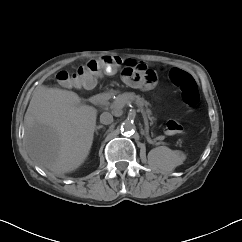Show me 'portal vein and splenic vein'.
Returning a JSON list of instances; mask_svg holds the SVG:
<instances>
[{"instance_id":"18ae733b","label":"portal vein and splenic vein","mask_w":242,"mask_h":242,"mask_svg":"<svg viewBox=\"0 0 242 242\" xmlns=\"http://www.w3.org/2000/svg\"><path fill=\"white\" fill-rule=\"evenodd\" d=\"M138 111L142 113L144 121H145V123L147 125V118H146L145 112L143 111V109H139Z\"/></svg>"}]
</instances>
